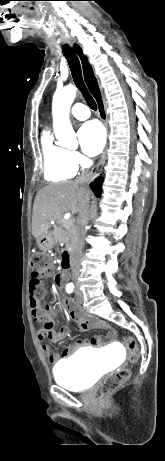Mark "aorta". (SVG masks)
I'll use <instances>...</instances> for the list:
<instances>
[{
	"instance_id": "aorta-1",
	"label": "aorta",
	"mask_w": 165,
	"mask_h": 461,
	"mask_svg": "<svg viewBox=\"0 0 165 461\" xmlns=\"http://www.w3.org/2000/svg\"><path fill=\"white\" fill-rule=\"evenodd\" d=\"M75 96L76 88L68 85L57 90L52 101L54 133L59 145L68 149H75L78 146L76 134L69 120V111Z\"/></svg>"
}]
</instances>
